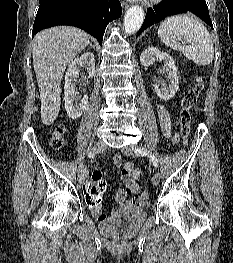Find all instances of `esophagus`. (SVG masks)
<instances>
[{"label":"esophagus","mask_w":233,"mask_h":263,"mask_svg":"<svg viewBox=\"0 0 233 263\" xmlns=\"http://www.w3.org/2000/svg\"><path fill=\"white\" fill-rule=\"evenodd\" d=\"M122 8L126 10L129 8V5L126 2H122Z\"/></svg>","instance_id":"1"}]
</instances>
